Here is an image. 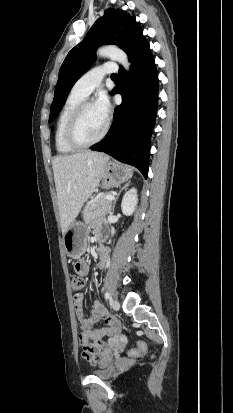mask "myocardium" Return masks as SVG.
<instances>
[{
    "instance_id": "myocardium-1",
    "label": "myocardium",
    "mask_w": 233,
    "mask_h": 413,
    "mask_svg": "<svg viewBox=\"0 0 233 413\" xmlns=\"http://www.w3.org/2000/svg\"><path fill=\"white\" fill-rule=\"evenodd\" d=\"M92 104H95V102L93 100L90 99H85L83 100L73 111V113L71 114L66 127H65V131H64V137H65V141L67 142L68 145H70L71 147H73L74 149H82V148H88L91 147L97 143H99L100 141H102L106 134L108 133L109 130V121H106L105 127L103 129V131L101 132V134L95 138L92 141L89 142H83L80 141L77 137V127L79 124V121L84 113V111L86 110V108Z\"/></svg>"
}]
</instances>
